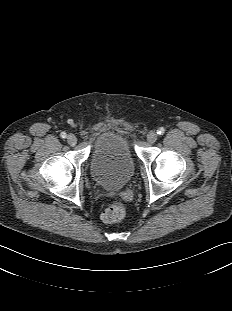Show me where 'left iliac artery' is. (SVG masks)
<instances>
[{
    "label": "left iliac artery",
    "instance_id": "1",
    "mask_svg": "<svg viewBox=\"0 0 232 311\" xmlns=\"http://www.w3.org/2000/svg\"><path fill=\"white\" fill-rule=\"evenodd\" d=\"M164 133H165V129L162 127L157 130L158 135H163Z\"/></svg>",
    "mask_w": 232,
    "mask_h": 311
}]
</instances>
